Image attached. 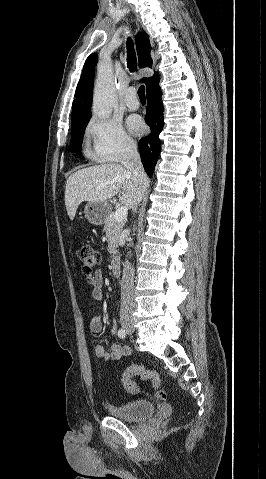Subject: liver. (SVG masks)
<instances>
[{"mask_svg": "<svg viewBox=\"0 0 266 479\" xmlns=\"http://www.w3.org/2000/svg\"><path fill=\"white\" fill-rule=\"evenodd\" d=\"M132 173L125 166L116 163H107L80 169L70 175L65 188V206L68 216L74 219L78 206L84 202L102 201L118 194L121 204L134 209L140 202L142 191Z\"/></svg>", "mask_w": 266, "mask_h": 479, "instance_id": "1", "label": "liver"}]
</instances>
